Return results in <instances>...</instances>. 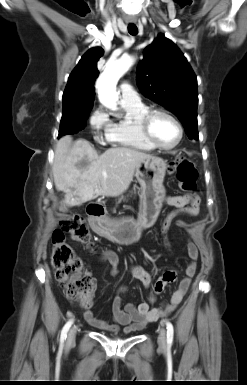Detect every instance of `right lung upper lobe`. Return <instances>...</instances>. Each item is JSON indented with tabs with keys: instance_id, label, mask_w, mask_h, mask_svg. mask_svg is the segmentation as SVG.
<instances>
[{
	"instance_id": "cb5924a9",
	"label": "right lung upper lobe",
	"mask_w": 247,
	"mask_h": 385,
	"mask_svg": "<svg viewBox=\"0 0 247 385\" xmlns=\"http://www.w3.org/2000/svg\"><path fill=\"white\" fill-rule=\"evenodd\" d=\"M104 50L95 47L88 50L81 58L68 78L63 94V104H78L93 106L95 91L94 82L99 75L97 61Z\"/></svg>"
}]
</instances>
